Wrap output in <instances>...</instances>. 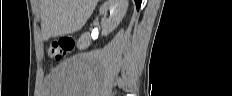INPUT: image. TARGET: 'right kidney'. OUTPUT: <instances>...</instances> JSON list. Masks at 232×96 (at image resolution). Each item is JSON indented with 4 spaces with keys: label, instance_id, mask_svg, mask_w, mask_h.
Returning <instances> with one entry per match:
<instances>
[{
    "label": "right kidney",
    "instance_id": "ca27d5eb",
    "mask_svg": "<svg viewBox=\"0 0 232 96\" xmlns=\"http://www.w3.org/2000/svg\"><path fill=\"white\" fill-rule=\"evenodd\" d=\"M128 8L127 0H107L99 10L100 15L104 17L101 20L102 35L106 36L111 33L123 19ZM107 11H110V17L107 19ZM90 45V36L87 33L81 35L77 46L79 49H85Z\"/></svg>",
    "mask_w": 232,
    "mask_h": 96
}]
</instances>
